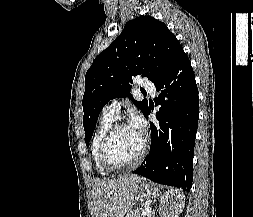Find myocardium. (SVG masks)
<instances>
[{"label":"myocardium","instance_id":"f54148a6","mask_svg":"<svg viewBox=\"0 0 253 217\" xmlns=\"http://www.w3.org/2000/svg\"><path fill=\"white\" fill-rule=\"evenodd\" d=\"M126 126H129V124L126 122H114L106 131V133L104 134V136L102 137L100 141L99 151H98L99 159H100L101 164L110 171H121V170L135 166L143 159L147 151L148 139H147V136L143 134L142 147L139 153L137 154V156L133 160L127 163L119 164V163L113 162L108 157L107 146L110 139L120 128L126 127Z\"/></svg>","mask_w":253,"mask_h":217}]
</instances>
